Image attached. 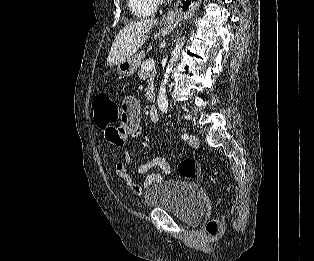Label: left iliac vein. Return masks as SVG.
Here are the masks:
<instances>
[{"label": "left iliac vein", "mask_w": 314, "mask_h": 261, "mask_svg": "<svg viewBox=\"0 0 314 261\" xmlns=\"http://www.w3.org/2000/svg\"><path fill=\"white\" fill-rule=\"evenodd\" d=\"M188 142H189V144H190L191 146H193V147L199 146V139H198L195 135H193V134H191V135L189 136Z\"/></svg>", "instance_id": "obj_1"}]
</instances>
